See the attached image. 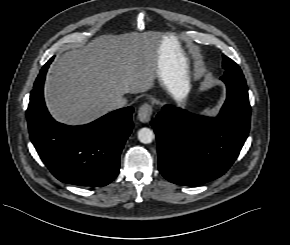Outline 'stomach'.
Returning <instances> with one entry per match:
<instances>
[{
	"instance_id": "0dacf381",
	"label": "stomach",
	"mask_w": 290,
	"mask_h": 245,
	"mask_svg": "<svg viewBox=\"0 0 290 245\" xmlns=\"http://www.w3.org/2000/svg\"><path fill=\"white\" fill-rule=\"evenodd\" d=\"M159 81L163 84L162 78L159 77ZM186 94L182 93L181 95L176 96L178 101H182L185 98Z\"/></svg>"
}]
</instances>
